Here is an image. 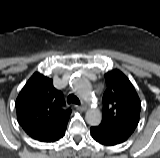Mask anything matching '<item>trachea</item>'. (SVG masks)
Returning a JSON list of instances; mask_svg holds the SVG:
<instances>
[{"label":"trachea","instance_id":"obj_1","mask_svg":"<svg viewBox=\"0 0 160 158\" xmlns=\"http://www.w3.org/2000/svg\"><path fill=\"white\" fill-rule=\"evenodd\" d=\"M67 102H68V104H70V103H74V104H78V105L80 104L79 99L74 94H70L68 96Z\"/></svg>","mask_w":160,"mask_h":158}]
</instances>
